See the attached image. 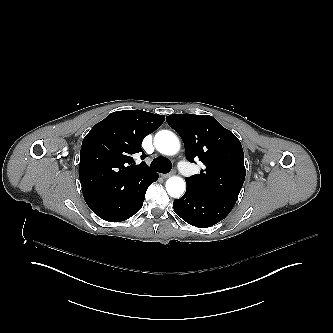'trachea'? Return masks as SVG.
Returning a JSON list of instances; mask_svg holds the SVG:
<instances>
[{
  "mask_svg": "<svg viewBox=\"0 0 333 333\" xmlns=\"http://www.w3.org/2000/svg\"><path fill=\"white\" fill-rule=\"evenodd\" d=\"M151 169L160 173H169L172 169V163L163 157H157L151 162Z\"/></svg>",
  "mask_w": 333,
  "mask_h": 333,
  "instance_id": "trachea-1",
  "label": "trachea"
}]
</instances>
